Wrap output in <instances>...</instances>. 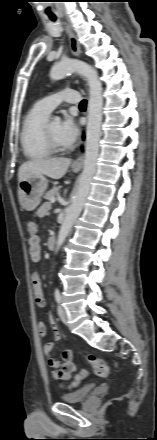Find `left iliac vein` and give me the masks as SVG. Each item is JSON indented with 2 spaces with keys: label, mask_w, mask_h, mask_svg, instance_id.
Segmentation results:
<instances>
[{
  "label": "left iliac vein",
  "mask_w": 157,
  "mask_h": 440,
  "mask_svg": "<svg viewBox=\"0 0 157 440\" xmlns=\"http://www.w3.org/2000/svg\"><path fill=\"white\" fill-rule=\"evenodd\" d=\"M57 311H58V315H59L61 321L65 324H67L68 318H67V314H66V311L64 310V308L59 305L57 308Z\"/></svg>",
  "instance_id": "4c4485c4"
}]
</instances>
